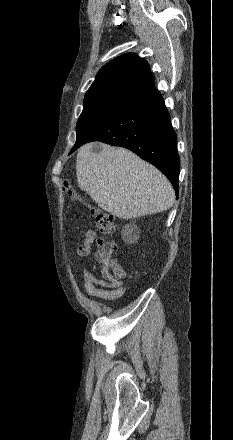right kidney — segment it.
<instances>
[{
	"label": "right kidney",
	"mask_w": 233,
	"mask_h": 440,
	"mask_svg": "<svg viewBox=\"0 0 233 440\" xmlns=\"http://www.w3.org/2000/svg\"><path fill=\"white\" fill-rule=\"evenodd\" d=\"M127 230H128V231H127ZM127 230L124 229V230L122 231L123 239H124L125 241L132 242V241L134 240V238L132 237V235H131L130 232L134 231V229H128V228H127Z\"/></svg>",
	"instance_id": "right-kidney-1"
}]
</instances>
